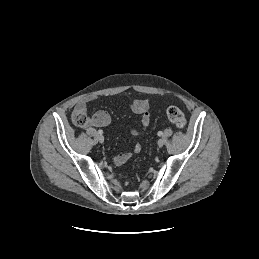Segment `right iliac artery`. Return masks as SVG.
Segmentation results:
<instances>
[{"instance_id":"right-iliac-artery-1","label":"right iliac artery","mask_w":259,"mask_h":259,"mask_svg":"<svg viewBox=\"0 0 259 259\" xmlns=\"http://www.w3.org/2000/svg\"><path fill=\"white\" fill-rule=\"evenodd\" d=\"M98 133H99L100 135H102V134H103V131L100 129V130H98Z\"/></svg>"}]
</instances>
